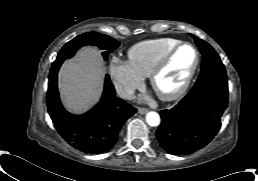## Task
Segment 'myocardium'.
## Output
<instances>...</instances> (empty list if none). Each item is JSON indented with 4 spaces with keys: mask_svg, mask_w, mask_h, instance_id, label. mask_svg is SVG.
Wrapping results in <instances>:
<instances>
[{
    "mask_svg": "<svg viewBox=\"0 0 258 181\" xmlns=\"http://www.w3.org/2000/svg\"><path fill=\"white\" fill-rule=\"evenodd\" d=\"M189 46L191 47L195 52V62L189 73L187 74L185 80L183 83L177 88L175 91L170 93H164L157 89V80L160 74L163 72V70L170 64L171 60L173 59L174 55L177 53V51L184 47ZM200 64V54L197 49V47L190 43V42H179L176 44L173 48H171L168 52H166L156 63L153 70L151 71L149 78H150V84L157 94V96L163 100V101H173L181 97L188 89V87L191 84V81L193 77L195 76L197 69Z\"/></svg>",
    "mask_w": 258,
    "mask_h": 181,
    "instance_id": "1",
    "label": "myocardium"
}]
</instances>
